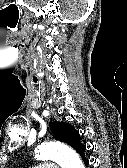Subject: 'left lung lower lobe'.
I'll use <instances>...</instances> for the list:
<instances>
[{
  "instance_id": "obj_1",
  "label": "left lung lower lobe",
  "mask_w": 127,
  "mask_h": 168,
  "mask_svg": "<svg viewBox=\"0 0 127 168\" xmlns=\"http://www.w3.org/2000/svg\"><path fill=\"white\" fill-rule=\"evenodd\" d=\"M85 150H86V147L81 145L76 151L81 155L85 165H88L89 164V160L84 155Z\"/></svg>"
}]
</instances>
